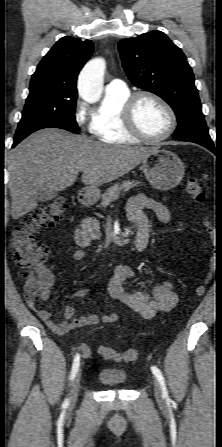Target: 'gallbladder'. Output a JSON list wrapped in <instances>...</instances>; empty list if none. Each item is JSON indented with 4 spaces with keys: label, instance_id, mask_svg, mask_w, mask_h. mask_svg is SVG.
<instances>
[{
    "label": "gallbladder",
    "instance_id": "bac80fb5",
    "mask_svg": "<svg viewBox=\"0 0 222 447\" xmlns=\"http://www.w3.org/2000/svg\"><path fill=\"white\" fill-rule=\"evenodd\" d=\"M58 195V191L55 189L49 188L47 185H44L38 191V201L39 202H47L54 199Z\"/></svg>",
    "mask_w": 222,
    "mask_h": 447
}]
</instances>
